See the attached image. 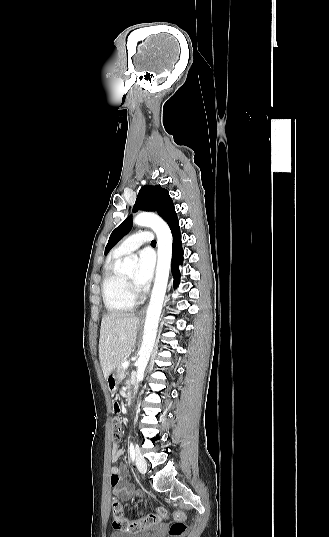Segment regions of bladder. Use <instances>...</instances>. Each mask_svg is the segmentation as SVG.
Instances as JSON below:
<instances>
[{
  "label": "bladder",
  "instance_id": "1",
  "mask_svg": "<svg viewBox=\"0 0 329 537\" xmlns=\"http://www.w3.org/2000/svg\"><path fill=\"white\" fill-rule=\"evenodd\" d=\"M158 531V528H153L149 531L126 533L121 531L112 532L109 537H154V534Z\"/></svg>",
  "mask_w": 329,
  "mask_h": 537
}]
</instances>
